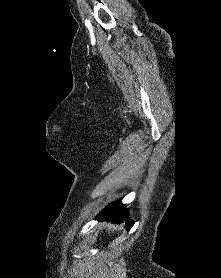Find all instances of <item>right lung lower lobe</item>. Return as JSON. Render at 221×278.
I'll return each instance as SVG.
<instances>
[{
    "instance_id": "right-lung-lower-lobe-1",
    "label": "right lung lower lobe",
    "mask_w": 221,
    "mask_h": 278,
    "mask_svg": "<svg viewBox=\"0 0 221 278\" xmlns=\"http://www.w3.org/2000/svg\"><path fill=\"white\" fill-rule=\"evenodd\" d=\"M100 217L118 223L124 222L125 220L127 229H130L133 225V222L129 220L127 216V210L125 209V206L122 205L119 200L107 206L103 210L102 214L99 215V218Z\"/></svg>"
}]
</instances>
